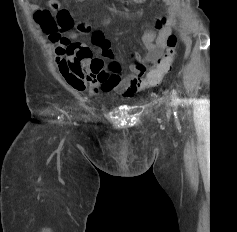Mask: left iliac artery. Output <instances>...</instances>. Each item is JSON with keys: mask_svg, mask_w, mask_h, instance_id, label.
<instances>
[{"mask_svg": "<svg viewBox=\"0 0 237 232\" xmlns=\"http://www.w3.org/2000/svg\"><path fill=\"white\" fill-rule=\"evenodd\" d=\"M179 104V97L175 89L172 90V105L176 108Z\"/></svg>", "mask_w": 237, "mask_h": 232, "instance_id": "obj_1", "label": "left iliac artery"}]
</instances>
